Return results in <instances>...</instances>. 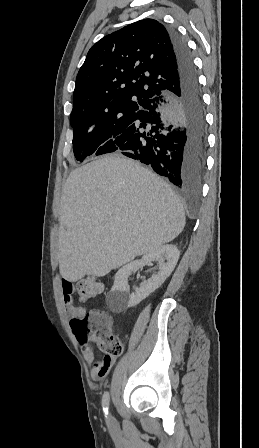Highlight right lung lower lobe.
Here are the masks:
<instances>
[{"label":"right lung lower lobe","instance_id":"98d812e1","mask_svg":"<svg viewBox=\"0 0 259 448\" xmlns=\"http://www.w3.org/2000/svg\"><path fill=\"white\" fill-rule=\"evenodd\" d=\"M179 85L152 102L115 139L112 152L150 165L176 187H198L205 170L207 127L192 56L174 28H166Z\"/></svg>","mask_w":259,"mask_h":448}]
</instances>
